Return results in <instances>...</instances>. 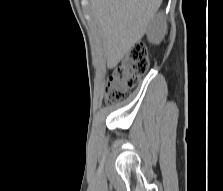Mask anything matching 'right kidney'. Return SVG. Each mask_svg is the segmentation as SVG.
Wrapping results in <instances>:
<instances>
[{"label":"right kidney","instance_id":"ca27d5eb","mask_svg":"<svg viewBox=\"0 0 223 191\" xmlns=\"http://www.w3.org/2000/svg\"><path fill=\"white\" fill-rule=\"evenodd\" d=\"M166 28V22L163 18V14H157L148 28V39L154 44L159 43L166 33Z\"/></svg>","mask_w":223,"mask_h":191}]
</instances>
